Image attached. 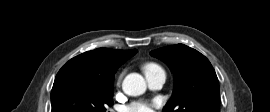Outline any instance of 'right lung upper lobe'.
<instances>
[{
	"instance_id": "cb5924a9",
	"label": "right lung upper lobe",
	"mask_w": 270,
	"mask_h": 112,
	"mask_svg": "<svg viewBox=\"0 0 270 112\" xmlns=\"http://www.w3.org/2000/svg\"><path fill=\"white\" fill-rule=\"evenodd\" d=\"M136 53V49L98 48L70 59L59 70L57 76L75 74L111 82L114 81V74L117 69Z\"/></svg>"
}]
</instances>
